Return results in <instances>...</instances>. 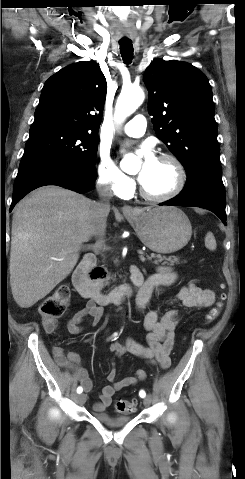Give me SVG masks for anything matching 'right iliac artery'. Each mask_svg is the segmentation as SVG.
<instances>
[{"mask_svg": "<svg viewBox=\"0 0 245 479\" xmlns=\"http://www.w3.org/2000/svg\"><path fill=\"white\" fill-rule=\"evenodd\" d=\"M117 336H118V333H114V335H113L114 340L117 338ZM82 391H83V388L81 386H79L77 388V393L80 394V393H82Z\"/></svg>", "mask_w": 245, "mask_h": 479, "instance_id": "82829eb1", "label": "right iliac artery"}]
</instances>
